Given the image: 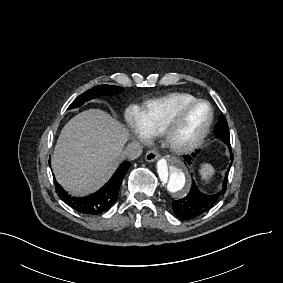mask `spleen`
Listing matches in <instances>:
<instances>
[{
  "label": "spleen",
  "instance_id": "spleen-1",
  "mask_svg": "<svg viewBox=\"0 0 283 283\" xmlns=\"http://www.w3.org/2000/svg\"><path fill=\"white\" fill-rule=\"evenodd\" d=\"M212 173V168L210 166H205L203 168L202 174L204 177L210 175Z\"/></svg>",
  "mask_w": 283,
  "mask_h": 283
}]
</instances>
